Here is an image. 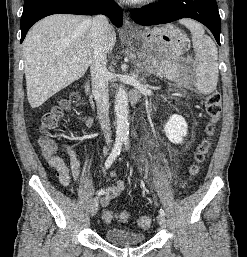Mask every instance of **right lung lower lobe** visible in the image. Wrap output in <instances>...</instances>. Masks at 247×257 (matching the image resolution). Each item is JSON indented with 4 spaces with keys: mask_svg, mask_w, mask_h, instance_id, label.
I'll use <instances>...</instances> for the list:
<instances>
[{
    "mask_svg": "<svg viewBox=\"0 0 247 257\" xmlns=\"http://www.w3.org/2000/svg\"><path fill=\"white\" fill-rule=\"evenodd\" d=\"M60 13L104 14L118 27L123 22L122 10L112 0H25L21 17V43L34 23L48 15Z\"/></svg>",
    "mask_w": 247,
    "mask_h": 257,
    "instance_id": "98d812e1",
    "label": "right lung lower lobe"
}]
</instances>
